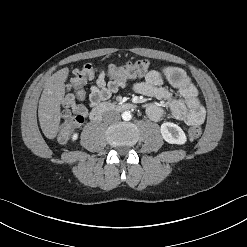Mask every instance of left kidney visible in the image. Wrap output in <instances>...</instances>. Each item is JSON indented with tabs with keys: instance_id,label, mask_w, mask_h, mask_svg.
Here are the masks:
<instances>
[{
	"instance_id": "5707ae66",
	"label": "left kidney",
	"mask_w": 247,
	"mask_h": 247,
	"mask_svg": "<svg viewBox=\"0 0 247 247\" xmlns=\"http://www.w3.org/2000/svg\"><path fill=\"white\" fill-rule=\"evenodd\" d=\"M163 139L170 144H185L187 141L184 131L176 124L165 122L160 127Z\"/></svg>"
}]
</instances>
